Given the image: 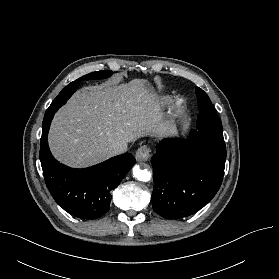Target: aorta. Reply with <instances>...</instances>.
I'll return each instance as SVG.
<instances>
[{
    "label": "aorta",
    "mask_w": 279,
    "mask_h": 279,
    "mask_svg": "<svg viewBox=\"0 0 279 279\" xmlns=\"http://www.w3.org/2000/svg\"><path fill=\"white\" fill-rule=\"evenodd\" d=\"M133 176L139 181L148 182L151 179V172L136 165L133 168Z\"/></svg>",
    "instance_id": "1"
}]
</instances>
